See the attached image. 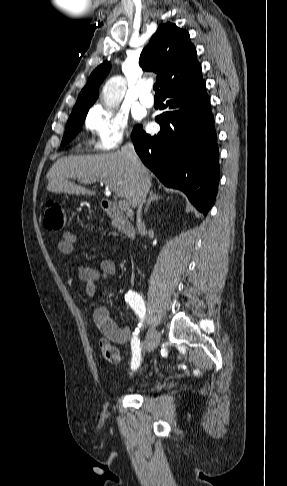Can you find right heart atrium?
<instances>
[{
    "mask_svg": "<svg viewBox=\"0 0 287 486\" xmlns=\"http://www.w3.org/2000/svg\"><path fill=\"white\" fill-rule=\"evenodd\" d=\"M85 127L93 135L92 146L99 151H111L128 137V117L125 113L96 105L85 119Z\"/></svg>",
    "mask_w": 287,
    "mask_h": 486,
    "instance_id": "d8ad5b80",
    "label": "right heart atrium"
}]
</instances>
